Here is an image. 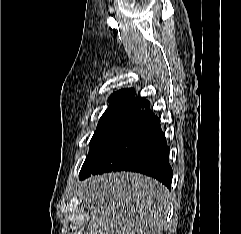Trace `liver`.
<instances>
[{
    "label": "liver",
    "instance_id": "liver-1",
    "mask_svg": "<svg viewBox=\"0 0 241 234\" xmlns=\"http://www.w3.org/2000/svg\"><path fill=\"white\" fill-rule=\"evenodd\" d=\"M78 197L90 211L86 234H161L171 194L151 177L115 172L83 181Z\"/></svg>",
    "mask_w": 241,
    "mask_h": 234
}]
</instances>
